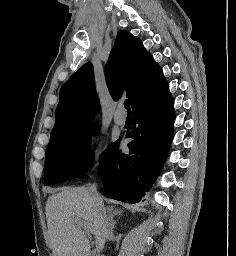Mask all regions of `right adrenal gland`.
<instances>
[{
	"mask_svg": "<svg viewBox=\"0 0 236 256\" xmlns=\"http://www.w3.org/2000/svg\"><path fill=\"white\" fill-rule=\"evenodd\" d=\"M109 212L108 220H109V228L108 230H111V232H114L115 224L114 222V216H119V214H122L121 210H110V208H107Z\"/></svg>",
	"mask_w": 236,
	"mask_h": 256,
	"instance_id": "right-adrenal-gland-1",
	"label": "right adrenal gland"
}]
</instances>
